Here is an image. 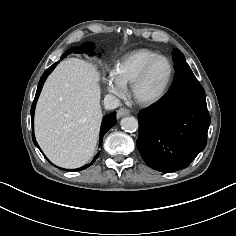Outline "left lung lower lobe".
I'll return each instance as SVG.
<instances>
[{
    "label": "left lung lower lobe",
    "instance_id": "obj_1",
    "mask_svg": "<svg viewBox=\"0 0 236 236\" xmlns=\"http://www.w3.org/2000/svg\"><path fill=\"white\" fill-rule=\"evenodd\" d=\"M137 117L138 150L155 170L184 169L206 146L210 116L204 90L190 67L176 70L168 93Z\"/></svg>",
    "mask_w": 236,
    "mask_h": 236
}]
</instances>
